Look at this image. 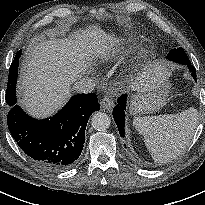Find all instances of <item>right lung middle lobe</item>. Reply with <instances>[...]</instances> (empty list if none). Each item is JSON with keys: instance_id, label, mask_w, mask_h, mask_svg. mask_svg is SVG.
<instances>
[{"instance_id": "right-lung-middle-lobe-1", "label": "right lung middle lobe", "mask_w": 205, "mask_h": 205, "mask_svg": "<svg viewBox=\"0 0 205 205\" xmlns=\"http://www.w3.org/2000/svg\"><path fill=\"white\" fill-rule=\"evenodd\" d=\"M20 56H21V50H19L16 53V56L9 69V78H8L6 98H5L6 103L9 106H13L16 103L15 87H16V82H17L18 62H19Z\"/></svg>"}]
</instances>
